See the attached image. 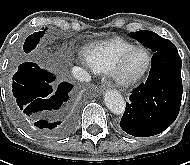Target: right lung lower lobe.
Returning <instances> with one entry per match:
<instances>
[{"label":"right lung lower lobe","mask_w":190,"mask_h":165,"mask_svg":"<svg viewBox=\"0 0 190 165\" xmlns=\"http://www.w3.org/2000/svg\"><path fill=\"white\" fill-rule=\"evenodd\" d=\"M54 79L52 74L40 69L37 64L23 63L13 77L10 96L13 111L22 125L58 138L71 131L74 114L70 112L56 120L46 117L49 113L56 114L67 104L72 89V85L63 82L54 93L49 85Z\"/></svg>","instance_id":"1"}]
</instances>
